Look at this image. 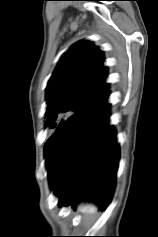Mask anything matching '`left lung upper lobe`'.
Wrapping results in <instances>:
<instances>
[{"instance_id":"1","label":"left lung upper lobe","mask_w":158,"mask_h":237,"mask_svg":"<svg viewBox=\"0 0 158 237\" xmlns=\"http://www.w3.org/2000/svg\"><path fill=\"white\" fill-rule=\"evenodd\" d=\"M102 51L89 41L79 42L60 59L46 90V125L57 129L65 119L104 93L107 69Z\"/></svg>"}]
</instances>
